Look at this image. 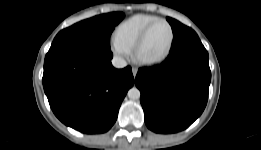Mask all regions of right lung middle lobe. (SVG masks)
<instances>
[{"label": "right lung middle lobe", "mask_w": 261, "mask_h": 150, "mask_svg": "<svg viewBox=\"0 0 261 150\" xmlns=\"http://www.w3.org/2000/svg\"><path fill=\"white\" fill-rule=\"evenodd\" d=\"M123 18L122 12H113L83 20L60 31L54 38L51 48L64 45H85L110 49V35Z\"/></svg>", "instance_id": "dd1d6c3e"}]
</instances>
